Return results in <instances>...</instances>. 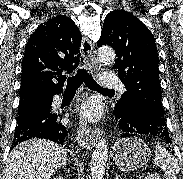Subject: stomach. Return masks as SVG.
I'll list each match as a JSON object with an SVG mask.
<instances>
[{
	"label": "stomach",
	"mask_w": 183,
	"mask_h": 179,
	"mask_svg": "<svg viewBox=\"0 0 183 179\" xmlns=\"http://www.w3.org/2000/svg\"><path fill=\"white\" fill-rule=\"evenodd\" d=\"M150 148L142 139L132 137L118 141L112 150L116 165L124 171H132L146 165Z\"/></svg>",
	"instance_id": "0dacf381"
}]
</instances>
